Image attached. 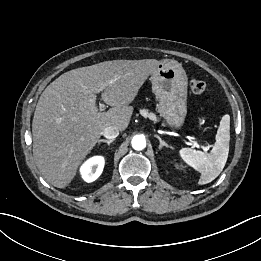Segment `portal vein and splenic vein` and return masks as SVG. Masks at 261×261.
<instances>
[{"label":"portal vein and splenic vein","instance_id":"18ae733b","mask_svg":"<svg viewBox=\"0 0 261 261\" xmlns=\"http://www.w3.org/2000/svg\"><path fill=\"white\" fill-rule=\"evenodd\" d=\"M103 88H99V89H96L97 92L99 91H102ZM99 109L100 111H104L106 109L105 105L103 103H99ZM193 146L196 147V148H201L203 149L205 152L209 151L210 147L209 146H203V145H200L198 144L196 141H191Z\"/></svg>","mask_w":261,"mask_h":261}]
</instances>
